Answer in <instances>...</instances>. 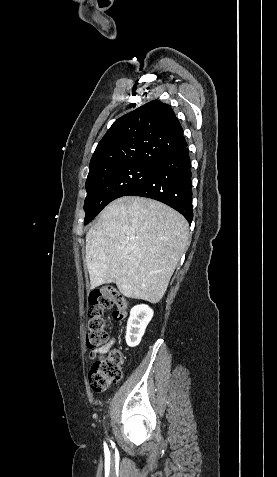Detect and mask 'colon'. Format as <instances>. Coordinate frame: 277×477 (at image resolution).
Returning a JSON list of instances; mask_svg holds the SVG:
<instances>
[{"label": "colon", "mask_w": 277, "mask_h": 477, "mask_svg": "<svg viewBox=\"0 0 277 477\" xmlns=\"http://www.w3.org/2000/svg\"><path fill=\"white\" fill-rule=\"evenodd\" d=\"M86 342L89 348H97L108 340L104 310L114 308L113 318L122 320L127 314L125 297L113 286L107 285L89 294ZM123 352L116 348L95 360L88 379L93 392L102 393L122 376Z\"/></svg>", "instance_id": "5ec220e1"}]
</instances>
